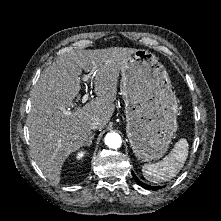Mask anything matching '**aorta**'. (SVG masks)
Instances as JSON below:
<instances>
[{
    "label": "aorta",
    "mask_w": 221,
    "mask_h": 221,
    "mask_svg": "<svg viewBox=\"0 0 221 221\" xmlns=\"http://www.w3.org/2000/svg\"><path fill=\"white\" fill-rule=\"evenodd\" d=\"M105 144L109 148L117 149L121 146L122 139L119 134H117L115 132H111L105 136Z\"/></svg>",
    "instance_id": "aorta-1"
}]
</instances>
